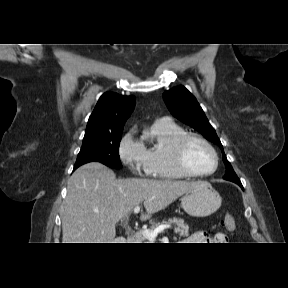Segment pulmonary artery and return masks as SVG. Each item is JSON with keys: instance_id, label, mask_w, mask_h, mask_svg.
I'll use <instances>...</instances> for the list:
<instances>
[{"instance_id": "1", "label": "pulmonary artery", "mask_w": 288, "mask_h": 288, "mask_svg": "<svg viewBox=\"0 0 288 288\" xmlns=\"http://www.w3.org/2000/svg\"><path fill=\"white\" fill-rule=\"evenodd\" d=\"M161 120H167L166 118H162Z\"/></svg>"}]
</instances>
